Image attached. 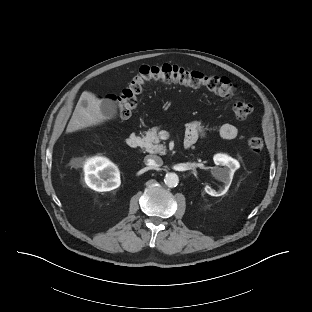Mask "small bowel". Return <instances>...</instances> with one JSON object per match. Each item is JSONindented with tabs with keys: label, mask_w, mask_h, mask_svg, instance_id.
Instances as JSON below:
<instances>
[{
	"label": "small bowel",
	"mask_w": 312,
	"mask_h": 312,
	"mask_svg": "<svg viewBox=\"0 0 312 312\" xmlns=\"http://www.w3.org/2000/svg\"><path fill=\"white\" fill-rule=\"evenodd\" d=\"M204 127L199 122H191L186 127L184 144L193 145L200 137L204 135ZM220 136L225 140H232L238 136V128L232 123H224L220 127Z\"/></svg>",
	"instance_id": "small-bowel-1"
}]
</instances>
